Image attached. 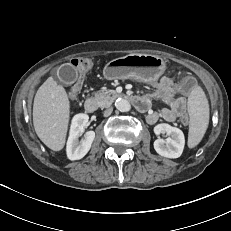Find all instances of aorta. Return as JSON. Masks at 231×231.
I'll use <instances>...</instances> for the list:
<instances>
[{
  "label": "aorta",
  "instance_id": "762f6f07",
  "mask_svg": "<svg viewBox=\"0 0 231 231\" xmlns=\"http://www.w3.org/2000/svg\"><path fill=\"white\" fill-rule=\"evenodd\" d=\"M115 107L121 112H128L131 109L130 103L126 99L122 98L115 101Z\"/></svg>",
  "mask_w": 231,
  "mask_h": 231
}]
</instances>
